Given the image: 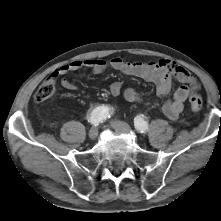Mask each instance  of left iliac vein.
I'll list each match as a JSON object with an SVG mask.
<instances>
[{"label":"left iliac vein","mask_w":221,"mask_h":221,"mask_svg":"<svg viewBox=\"0 0 221 221\" xmlns=\"http://www.w3.org/2000/svg\"><path fill=\"white\" fill-rule=\"evenodd\" d=\"M111 125L117 131H130L131 130L130 126L127 123L122 122V121H117V120L112 121Z\"/></svg>","instance_id":"1"}]
</instances>
